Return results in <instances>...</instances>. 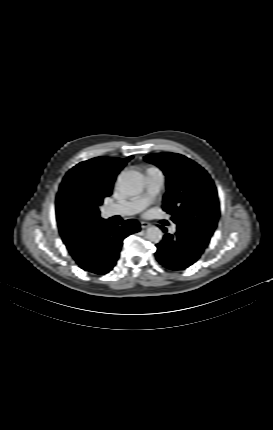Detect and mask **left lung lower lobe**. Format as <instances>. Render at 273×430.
Returning a JSON list of instances; mask_svg holds the SVG:
<instances>
[{"label": "left lung lower lobe", "mask_w": 273, "mask_h": 430, "mask_svg": "<svg viewBox=\"0 0 273 430\" xmlns=\"http://www.w3.org/2000/svg\"><path fill=\"white\" fill-rule=\"evenodd\" d=\"M166 232V229L161 226ZM157 260L166 268L171 270H183L196 262L205 247L200 245L186 232L177 228L174 235L166 233L162 241L156 245Z\"/></svg>", "instance_id": "1"}]
</instances>
